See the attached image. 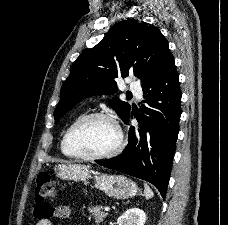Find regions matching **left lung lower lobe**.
<instances>
[{
  "mask_svg": "<svg viewBox=\"0 0 228 225\" xmlns=\"http://www.w3.org/2000/svg\"><path fill=\"white\" fill-rule=\"evenodd\" d=\"M142 90L146 105L136 117L140 128L129 129L128 144L119 156L95 162L152 183L165 199L181 116L179 74L172 54Z\"/></svg>",
  "mask_w": 228,
  "mask_h": 225,
  "instance_id": "obj_1",
  "label": "left lung lower lobe"
}]
</instances>
